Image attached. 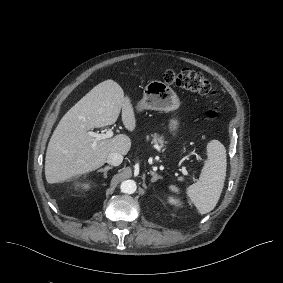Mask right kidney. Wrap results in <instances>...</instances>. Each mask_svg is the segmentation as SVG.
<instances>
[{"label": "right kidney", "instance_id": "obj_1", "mask_svg": "<svg viewBox=\"0 0 283 283\" xmlns=\"http://www.w3.org/2000/svg\"><path fill=\"white\" fill-rule=\"evenodd\" d=\"M80 185H82V184H80ZM80 185L78 184L77 186H80ZM82 186H83L84 188H86V189L89 188V185H88V184H83Z\"/></svg>", "mask_w": 283, "mask_h": 283}]
</instances>
